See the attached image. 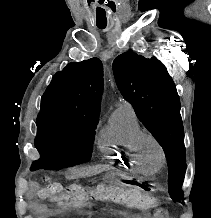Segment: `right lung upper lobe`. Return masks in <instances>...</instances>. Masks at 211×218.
<instances>
[{"instance_id": "right-lung-upper-lobe-1", "label": "right lung upper lobe", "mask_w": 211, "mask_h": 218, "mask_svg": "<svg viewBox=\"0 0 211 218\" xmlns=\"http://www.w3.org/2000/svg\"><path fill=\"white\" fill-rule=\"evenodd\" d=\"M103 66L98 58L68 64L57 72L41 99V111L99 117Z\"/></svg>"}]
</instances>
